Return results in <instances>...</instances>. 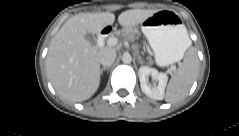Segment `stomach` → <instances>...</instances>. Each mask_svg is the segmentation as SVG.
Segmentation results:
<instances>
[{"label": "stomach", "instance_id": "obj_1", "mask_svg": "<svg viewBox=\"0 0 239 136\" xmlns=\"http://www.w3.org/2000/svg\"><path fill=\"white\" fill-rule=\"evenodd\" d=\"M141 30L148 40L159 66L180 61L189 47L187 29L180 17L160 10L141 22Z\"/></svg>", "mask_w": 239, "mask_h": 136}]
</instances>
